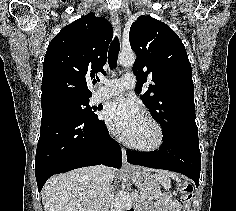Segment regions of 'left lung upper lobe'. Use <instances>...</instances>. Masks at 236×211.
Instances as JSON below:
<instances>
[{
	"label": "left lung upper lobe",
	"mask_w": 236,
	"mask_h": 211,
	"mask_svg": "<svg viewBox=\"0 0 236 211\" xmlns=\"http://www.w3.org/2000/svg\"><path fill=\"white\" fill-rule=\"evenodd\" d=\"M129 39L137 55L136 92L147 80L153 81L141 99L164 136L198 135L192 69L181 39L165 23L144 15L132 24Z\"/></svg>",
	"instance_id": "5c2ea615"
}]
</instances>
